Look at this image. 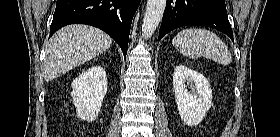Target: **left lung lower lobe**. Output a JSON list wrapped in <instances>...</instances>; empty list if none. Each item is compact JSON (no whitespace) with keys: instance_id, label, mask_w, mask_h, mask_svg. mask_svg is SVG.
<instances>
[{"instance_id":"obj_1","label":"left lung lower lobe","mask_w":280,"mask_h":137,"mask_svg":"<svg viewBox=\"0 0 280 137\" xmlns=\"http://www.w3.org/2000/svg\"><path fill=\"white\" fill-rule=\"evenodd\" d=\"M186 25L211 27L233 40L224 0H167L158 40Z\"/></svg>"}]
</instances>
